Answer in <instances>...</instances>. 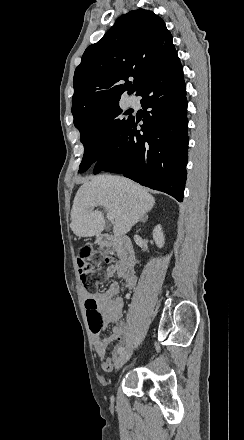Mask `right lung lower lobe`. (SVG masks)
<instances>
[{
  "label": "right lung lower lobe",
  "mask_w": 244,
  "mask_h": 440,
  "mask_svg": "<svg viewBox=\"0 0 244 440\" xmlns=\"http://www.w3.org/2000/svg\"><path fill=\"white\" fill-rule=\"evenodd\" d=\"M137 95L143 97L142 119L131 118L114 145L96 161L93 173L123 174L182 202L188 120L181 63L159 70ZM140 120L143 125L137 130Z\"/></svg>",
  "instance_id": "98d812e1"
}]
</instances>
